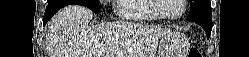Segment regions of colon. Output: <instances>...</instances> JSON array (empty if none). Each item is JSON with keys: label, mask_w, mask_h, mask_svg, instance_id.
I'll return each instance as SVG.
<instances>
[{"label": "colon", "mask_w": 249, "mask_h": 57, "mask_svg": "<svg viewBox=\"0 0 249 57\" xmlns=\"http://www.w3.org/2000/svg\"><path fill=\"white\" fill-rule=\"evenodd\" d=\"M188 57H202V53L197 48H191Z\"/></svg>", "instance_id": "colon-1"}]
</instances>
